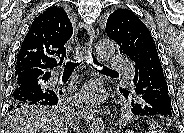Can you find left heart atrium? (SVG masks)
Instances as JSON below:
<instances>
[{
  "label": "left heart atrium",
  "instance_id": "1",
  "mask_svg": "<svg viewBox=\"0 0 184 133\" xmlns=\"http://www.w3.org/2000/svg\"><path fill=\"white\" fill-rule=\"evenodd\" d=\"M79 98L90 103H97L102 98V90L99 85L90 83L81 91Z\"/></svg>",
  "mask_w": 184,
  "mask_h": 133
}]
</instances>
